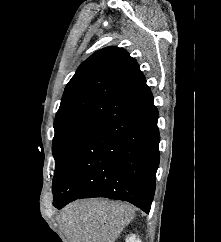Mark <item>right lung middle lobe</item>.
Segmentation results:
<instances>
[{"label":"right lung middle lobe","mask_w":221,"mask_h":242,"mask_svg":"<svg viewBox=\"0 0 221 242\" xmlns=\"http://www.w3.org/2000/svg\"><path fill=\"white\" fill-rule=\"evenodd\" d=\"M100 123L98 121H81L55 128L52 143V152L55 159L53 188L72 155Z\"/></svg>","instance_id":"1"}]
</instances>
